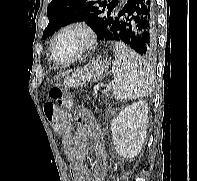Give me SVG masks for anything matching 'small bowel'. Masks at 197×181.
Segmentation results:
<instances>
[{
    "mask_svg": "<svg viewBox=\"0 0 197 181\" xmlns=\"http://www.w3.org/2000/svg\"><path fill=\"white\" fill-rule=\"evenodd\" d=\"M62 139L72 181H104L107 168L104 140L100 126L85 107L76 109L75 123L68 124ZM88 152L94 159L90 170L84 164Z\"/></svg>",
    "mask_w": 197,
    "mask_h": 181,
    "instance_id": "1",
    "label": "small bowel"
}]
</instances>
